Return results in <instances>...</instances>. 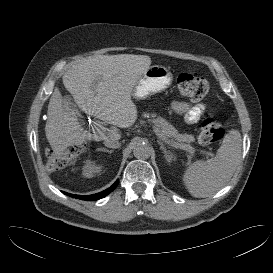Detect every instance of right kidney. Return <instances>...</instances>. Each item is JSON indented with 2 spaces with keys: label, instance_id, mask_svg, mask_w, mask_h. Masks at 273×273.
Here are the masks:
<instances>
[{
  "label": "right kidney",
  "instance_id": "right-kidney-1",
  "mask_svg": "<svg viewBox=\"0 0 273 273\" xmlns=\"http://www.w3.org/2000/svg\"><path fill=\"white\" fill-rule=\"evenodd\" d=\"M102 166L97 165L95 162L88 163L84 168V175L86 177H93L94 174L100 173Z\"/></svg>",
  "mask_w": 273,
  "mask_h": 273
}]
</instances>
